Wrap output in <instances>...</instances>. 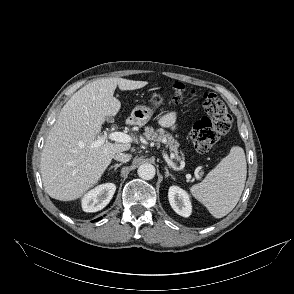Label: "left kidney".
<instances>
[{
  "mask_svg": "<svg viewBox=\"0 0 294 294\" xmlns=\"http://www.w3.org/2000/svg\"><path fill=\"white\" fill-rule=\"evenodd\" d=\"M168 199L173 210L183 216L189 217L192 212V205L189 194L178 186H171L168 191Z\"/></svg>",
  "mask_w": 294,
  "mask_h": 294,
  "instance_id": "obj_1",
  "label": "left kidney"
}]
</instances>
